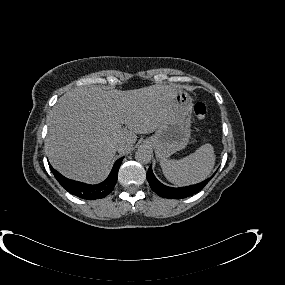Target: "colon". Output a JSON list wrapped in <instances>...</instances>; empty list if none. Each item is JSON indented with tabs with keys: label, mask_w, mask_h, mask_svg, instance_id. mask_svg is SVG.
Returning <instances> with one entry per match:
<instances>
[{
	"label": "colon",
	"mask_w": 285,
	"mask_h": 285,
	"mask_svg": "<svg viewBox=\"0 0 285 285\" xmlns=\"http://www.w3.org/2000/svg\"><path fill=\"white\" fill-rule=\"evenodd\" d=\"M194 115L198 120H204L206 116V106L203 103H197L194 106Z\"/></svg>",
	"instance_id": "5ec220e1"
}]
</instances>
